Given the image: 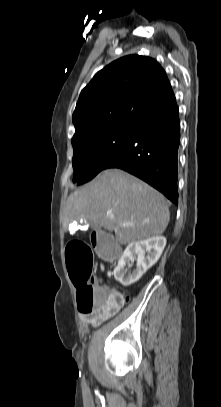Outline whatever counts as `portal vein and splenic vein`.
<instances>
[{
  "instance_id": "obj_1",
  "label": "portal vein and splenic vein",
  "mask_w": 221,
  "mask_h": 407,
  "mask_svg": "<svg viewBox=\"0 0 221 407\" xmlns=\"http://www.w3.org/2000/svg\"><path fill=\"white\" fill-rule=\"evenodd\" d=\"M110 218H113V215H109ZM123 226H132V223H123Z\"/></svg>"
}]
</instances>
